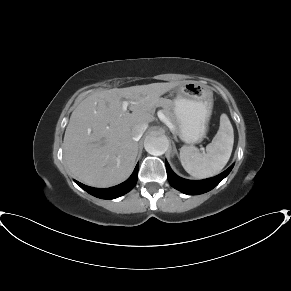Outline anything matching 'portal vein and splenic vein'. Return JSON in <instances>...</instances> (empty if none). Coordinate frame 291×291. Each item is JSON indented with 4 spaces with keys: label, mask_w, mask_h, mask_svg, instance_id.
Here are the masks:
<instances>
[{
    "label": "portal vein and splenic vein",
    "mask_w": 291,
    "mask_h": 291,
    "mask_svg": "<svg viewBox=\"0 0 291 291\" xmlns=\"http://www.w3.org/2000/svg\"><path fill=\"white\" fill-rule=\"evenodd\" d=\"M129 104H134L133 101H123L122 102V110L125 112L127 111V107ZM158 117L159 119L166 124L171 130L174 129V126L172 125V123L165 117V115L162 112L158 113Z\"/></svg>",
    "instance_id": "1"
}]
</instances>
